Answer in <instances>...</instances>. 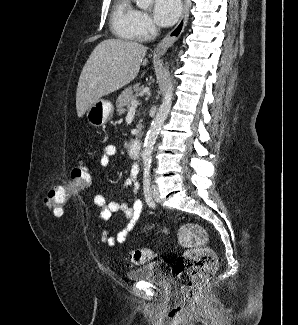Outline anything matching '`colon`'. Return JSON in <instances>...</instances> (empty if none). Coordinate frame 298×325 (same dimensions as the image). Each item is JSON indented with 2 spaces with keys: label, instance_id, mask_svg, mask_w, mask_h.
Listing matches in <instances>:
<instances>
[{
  "label": "colon",
  "instance_id": "colon-1",
  "mask_svg": "<svg viewBox=\"0 0 298 325\" xmlns=\"http://www.w3.org/2000/svg\"><path fill=\"white\" fill-rule=\"evenodd\" d=\"M91 180V169L80 161L71 171V182L66 187H56L45 195V205L58 215L62 214L68 198L85 188ZM178 240L186 250L177 267V279L181 292L187 299H194L211 280L217 269L214 252L208 246L207 232L198 224L183 225L178 232ZM153 258L148 248H138L130 254V263L144 264Z\"/></svg>",
  "mask_w": 298,
  "mask_h": 325
}]
</instances>
